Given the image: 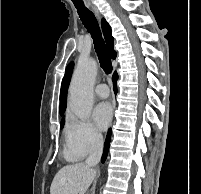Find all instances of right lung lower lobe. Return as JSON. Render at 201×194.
<instances>
[{
    "mask_svg": "<svg viewBox=\"0 0 201 194\" xmlns=\"http://www.w3.org/2000/svg\"><path fill=\"white\" fill-rule=\"evenodd\" d=\"M118 75L117 73H114L113 75V83H114V92L117 93V89H116V81H117ZM110 138H111V130L108 131L107 137H106V141L104 144V153L102 155V162L105 161L106 157H107V153H108V149H109V143H110Z\"/></svg>",
    "mask_w": 201,
    "mask_h": 194,
    "instance_id": "98d812e1",
    "label": "right lung lower lobe"
}]
</instances>
